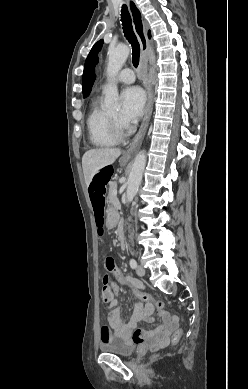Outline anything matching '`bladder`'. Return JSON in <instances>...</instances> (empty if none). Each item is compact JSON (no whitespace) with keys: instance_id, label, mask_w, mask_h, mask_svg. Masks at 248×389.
Returning <instances> with one entry per match:
<instances>
[{"instance_id":"obj_1","label":"bladder","mask_w":248,"mask_h":389,"mask_svg":"<svg viewBox=\"0 0 248 389\" xmlns=\"http://www.w3.org/2000/svg\"><path fill=\"white\" fill-rule=\"evenodd\" d=\"M100 350L104 354L129 357L135 353L136 347L127 343V341L122 338L111 336L108 340L101 343Z\"/></svg>"}]
</instances>
